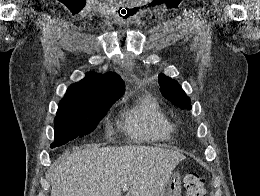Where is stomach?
Here are the masks:
<instances>
[{
  "label": "stomach",
  "instance_id": "obj_1",
  "mask_svg": "<svg viewBox=\"0 0 260 196\" xmlns=\"http://www.w3.org/2000/svg\"><path fill=\"white\" fill-rule=\"evenodd\" d=\"M173 185H182V180H167L165 190L160 192L161 196H179L180 187Z\"/></svg>",
  "mask_w": 260,
  "mask_h": 196
}]
</instances>
